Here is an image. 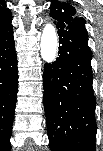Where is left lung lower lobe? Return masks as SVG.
I'll return each instance as SVG.
<instances>
[{
	"mask_svg": "<svg viewBox=\"0 0 103 151\" xmlns=\"http://www.w3.org/2000/svg\"><path fill=\"white\" fill-rule=\"evenodd\" d=\"M59 57L44 66V109L51 151H96L92 53L85 25L58 29Z\"/></svg>",
	"mask_w": 103,
	"mask_h": 151,
	"instance_id": "obj_1",
	"label": "left lung lower lobe"
}]
</instances>
